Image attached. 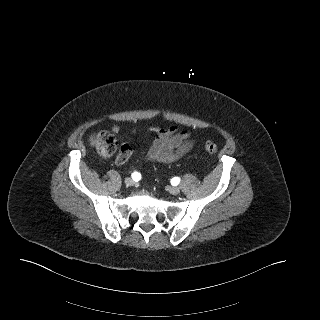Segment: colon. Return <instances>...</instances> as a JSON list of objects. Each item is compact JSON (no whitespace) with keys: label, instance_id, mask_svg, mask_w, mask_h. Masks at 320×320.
Here are the masks:
<instances>
[{"label":"colon","instance_id":"5ec220e1","mask_svg":"<svg viewBox=\"0 0 320 320\" xmlns=\"http://www.w3.org/2000/svg\"><path fill=\"white\" fill-rule=\"evenodd\" d=\"M93 142L100 154L104 156L112 155L116 151L118 146L115 136L107 131H102L94 136ZM204 148L210 154H215L218 150L217 145L211 140H207L204 143ZM127 159V152L124 148H121L116 156L117 162L122 163Z\"/></svg>","mask_w":320,"mask_h":320}]
</instances>
